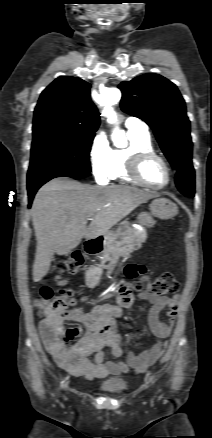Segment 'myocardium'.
Segmentation results:
<instances>
[{"mask_svg": "<svg viewBox=\"0 0 212 438\" xmlns=\"http://www.w3.org/2000/svg\"><path fill=\"white\" fill-rule=\"evenodd\" d=\"M157 159L159 160L166 171L167 174V180L163 185L160 186H156L153 184H150L149 182H147L141 174V170H142V166L143 164L149 160V159ZM127 173L128 176L137 184L147 187V188H151V189H155V190H162L167 188L171 181H172V171L170 168L169 163L167 162V160L162 157L161 155L157 154L154 151H136L131 153V155L129 156L128 162H127Z\"/></svg>", "mask_w": 212, "mask_h": 438, "instance_id": "f54148a6", "label": "myocardium"}]
</instances>
